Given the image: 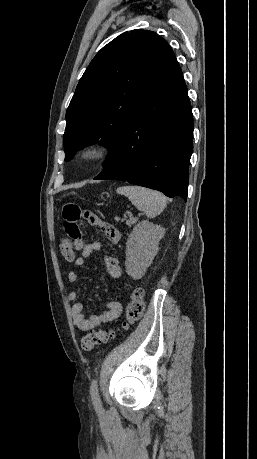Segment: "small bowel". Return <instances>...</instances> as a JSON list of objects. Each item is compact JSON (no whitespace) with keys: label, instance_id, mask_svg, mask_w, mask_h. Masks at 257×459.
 Returning <instances> with one entry per match:
<instances>
[{"label":"small bowel","instance_id":"obj_1","mask_svg":"<svg viewBox=\"0 0 257 459\" xmlns=\"http://www.w3.org/2000/svg\"><path fill=\"white\" fill-rule=\"evenodd\" d=\"M61 220L65 222L64 234L65 236H70L74 251H81L80 256L73 262L77 267H83L86 259L101 249V244L97 241L87 243V236L91 234V229L84 227L82 232H80V226L84 225L80 222H90L91 225L101 230L113 244H117L121 239L119 230L97 217L94 214L93 208H87V205H76L74 200H67L65 205H62ZM85 225L87 226L88 224L86 223ZM104 265L108 274L113 279L121 277L122 271L116 257L106 255L104 257ZM67 279L70 283H76L79 280L78 272L75 270L69 271ZM78 296L79 293L75 289L71 290L68 294L69 300L73 301L71 306L73 323L81 331H88L102 324L113 322L122 313L123 307L121 302L110 301L104 305L102 313L86 318L83 314V304L76 301Z\"/></svg>","mask_w":257,"mask_h":459}]
</instances>
